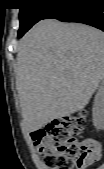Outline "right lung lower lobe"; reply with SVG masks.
<instances>
[{
  "instance_id": "right-lung-lower-lobe-1",
  "label": "right lung lower lobe",
  "mask_w": 104,
  "mask_h": 169,
  "mask_svg": "<svg viewBox=\"0 0 104 169\" xmlns=\"http://www.w3.org/2000/svg\"><path fill=\"white\" fill-rule=\"evenodd\" d=\"M63 22H78L104 31V0H58V5L45 17Z\"/></svg>"
}]
</instances>
